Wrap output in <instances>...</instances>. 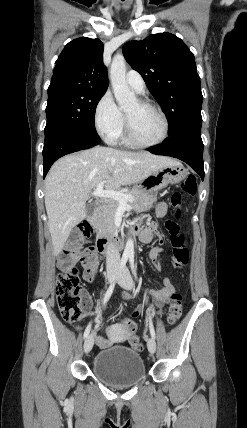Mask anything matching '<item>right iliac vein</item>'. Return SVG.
I'll return each instance as SVG.
<instances>
[{
  "mask_svg": "<svg viewBox=\"0 0 247 428\" xmlns=\"http://www.w3.org/2000/svg\"><path fill=\"white\" fill-rule=\"evenodd\" d=\"M116 277V271L112 270L109 272L108 274V280L109 282H112ZM94 344V338L93 335L90 334L89 336H87L85 342H84V352L85 353H89L93 347Z\"/></svg>",
  "mask_w": 247,
  "mask_h": 428,
  "instance_id": "63e3f726",
  "label": "right iliac vein"
}]
</instances>
